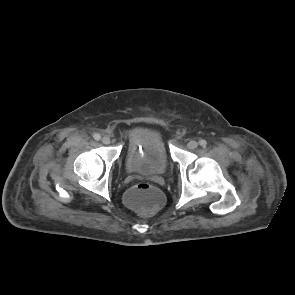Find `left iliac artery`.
I'll use <instances>...</instances> for the list:
<instances>
[{
    "label": "left iliac artery",
    "instance_id": "obj_1",
    "mask_svg": "<svg viewBox=\"0 0 295 295\" xmlns=\"http://www.w3.org/2000/svg\"><path fill=\"white\" fill-rule=\"evenodd\" d=\"M199 144H200L201 146L205 147V146L207 145V142H206L205 140L201 139V140L199 141Z\"/></svg>",
    "mask_w": 295,
    "mask_h": 295
}]
</instances>
